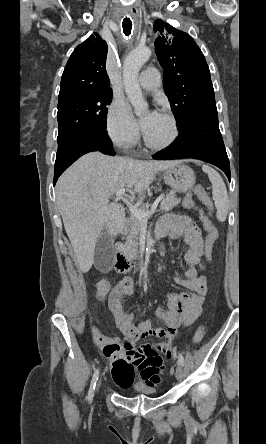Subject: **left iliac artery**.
I'll return each mask as SVG.
<instances>
[{
  "mask_svg": "<svg viewBox=\"0 0 266 444\" xmlns=\"http://www.w3.org/2000/svg\"><path fill=\"white\" fill-rule=\"evenodd\" d=\"M178 361L182 366H184V357L182 354H179Z\"/></svg>",
  "mask_w": 266,
  "mask_h": 444,
  "instance_id": "1",
  "label": "left iliac artery"
}]
</instances>
